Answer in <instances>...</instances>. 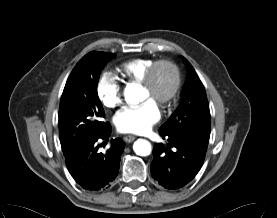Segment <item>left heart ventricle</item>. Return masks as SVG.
I'll list each match as a JSON object with an SVG mask.
<instances>
[{"mask_svg":"<svg viewBox=\"0 0 277 218\" xmlns=\"http://www.w3.org/2000/svg\"><path fill=\"white\" fill-rule=\"evenodd\" d=\"M168 76H169V72L166 69L161 68L159 71L158 77H159V81L162 83V85H164L167 82Z\"/></svg>","mask_w":277,"mask_h":218,"instance_id":"b2bd125f","label":"left heart ventricle"}]
</instances>
